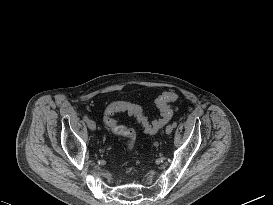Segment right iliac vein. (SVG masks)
<instances>
[{
	"instance_id": "obj_1",
	"label": "right iliac vein",
	"mask_w": 273,
	"mask_h": 205,
	"mask_svg": "<svg viewBox=\"0 0 273 205\" xmlns=\"http://www.w3.org/2000/svg\"><path fill=\"white\" fill-rule=\"evenodd\" d=\"M87 126L92 131L96 130V124H95V122L93 120H88L87 121Z\"/></svg>"
}]
</instances>
